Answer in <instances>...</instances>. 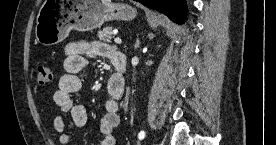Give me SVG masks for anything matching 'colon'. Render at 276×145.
Wrapping results in <instances>:
<instances>
[{"mask_svg": "<svg viewBox=\"0 0 276 145\" xmlns=\"http://www.w3.org/2000/svg\"><path fill=\"white\" fill-rule=\"evenodd\" d=\"M51 70L46 65H38L35 69V82L39 86H45L51 81Z\"/></svg>", "mask_w": 276, "mask_h": 145, "instance_id": "obj_1", "label": "colon"}]
</instances>
